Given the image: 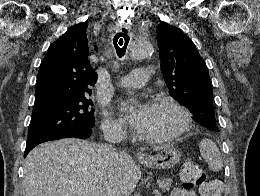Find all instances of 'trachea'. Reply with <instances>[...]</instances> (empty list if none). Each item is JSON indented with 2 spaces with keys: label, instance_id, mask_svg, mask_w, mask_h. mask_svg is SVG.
I'll use <instances>...</instances> for the list:
<instances>
[{
  "label": "trachea",
  "instance_id": "1",
  "mask_svg": "<svg viewBox=\"0 0 260 196\" xmlns=\"http://www.w3.org/2000/svg\"><path fill=\"white\" fill-rule=\"evenodd\" d=\"M122 32L123 33H117L113 39L115 50L120 58L125 55L130 40L129 36L127 35V30H122Z\"/></svg>",
  "mask_w": 260,
  "mask_h": 196
}]
</instances>
